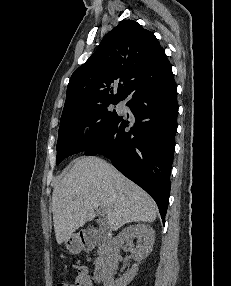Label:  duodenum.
I'll return each mask as SVG.
<instances>
[{
	"label": "duodenum",
	"instance_id": "duodenum-1",
	"mask_svg": "<svg viewBox=\"0 0 231 286\" xmlns=\"http://www.w3.org/2000/svg\"><path fill=\"white\" fill-rule=\"evenodd\" d=\"M109 241V235L102 232L95 235L83 234L80 236L79 245L82 250L97 251V258L94 268V278L97 281H102L106 274Z\"/></svg>",
	"mask_w": 231,
	"mask_h": 286
}]
</instances>
